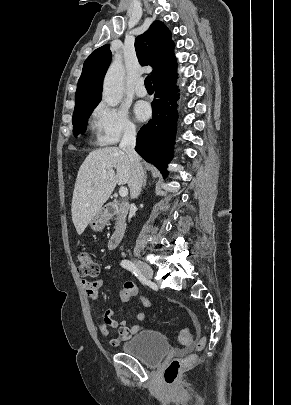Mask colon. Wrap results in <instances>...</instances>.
<instances>
[{
	"instance_id": "colon-1",
	"label": "colon",
	"mask_w": 291,
	"mask_h": 405,
	"mask_svg": "<svg viewBox=\"0 0 291 405\" xmlns=\"http://www.w3.org/2000/svg\"><path fill=\"white\" fill-rule=\"evenodd\" d=\"M78 266L77 271L81 276L84 277H96L99 275L100 268L98 263L95 261L93 256L86 251L80 252L77 257ZM138 295L137 288L130 282L125 283L121 292L120 298L122 301H128L134 296ZM142 303L146 307H151L152 304L149 300L142 297ZM179 340L184 345H190L193 342V335L189 329H184L181 331ZM205 345V340L201 339L197 344V349L201 350ZM196 359L195 355H188L182 358L173 359L164 370V380L168 385H173L179 377L180 372L191 366Z\"/></svg>"
}]
</instances>
